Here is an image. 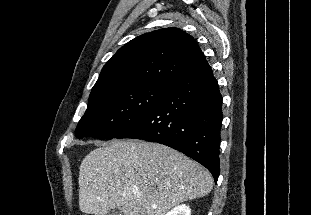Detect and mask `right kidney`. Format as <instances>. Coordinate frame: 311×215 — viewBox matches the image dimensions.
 Wrapping results in <instances>:
<instances>
[{
    "label": "right kidney",
    "mask_w": 311,
    "mask_h": 215,
    "mask_svg": "<svg viewBox=\"0 0 311 215\" xmlns=\"http://www.w3.org/2000/svg\"><path fill=\"white\" fill-rule=\"evenodd\" d=\"M166 215H191V209L185 204L178 205L169 211Z\"/></svg>",
    "instance_id": "right-kidney-1"
}]
</instances>
